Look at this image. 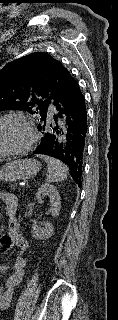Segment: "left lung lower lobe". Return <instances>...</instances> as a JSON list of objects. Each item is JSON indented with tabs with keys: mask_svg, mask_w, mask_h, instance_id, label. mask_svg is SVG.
I'll return each instance as SVG.
<instances>
[{
	"mask_svg": "<svg viewBox=\"0 0 118 320\" xmlns=\"http://www.w3.org/2000/svg\"><path fill=\"white\" fill-rule=\"evenodd\" d=\"M53 104L57 114L48 113L40 119L38 129L43 136L33 153L61 160L80 186L88 126L84 97L75 79L67 83Z\"/></svg>",
	"mask_w": 118,
	"mask_h": 320,
	"instance_id": "left-lung-lower-lobe-1",
	"label": "left lung lower lobe"
}]
</instances>
